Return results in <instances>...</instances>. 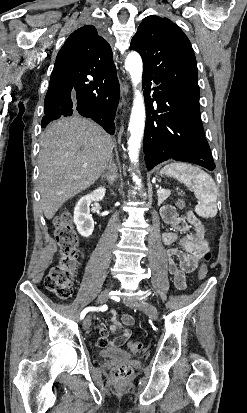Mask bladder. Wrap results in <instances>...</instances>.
<instances>
[{"label": "bladder", "mask_w": 247, "mask_h": 413, "mask_svg": "<svg viewBox=\"0 0 247 413\" xmlns=\"http://www.w3.org/2000/svg\"><path fill=\"white\" fill-rule=\"evenodd\" d=\"M99 356L101 358L127 359L130 357V352L120 350L118 348H104V349H99Z\"/></svg>", "instance_id": "1"}]
</instances>
